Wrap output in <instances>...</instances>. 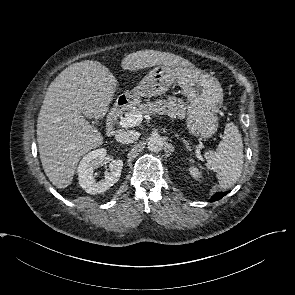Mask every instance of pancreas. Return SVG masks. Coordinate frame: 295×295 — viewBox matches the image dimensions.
Masks as SVG:
<instances>
[{
	"mask_svg": "<svg viewBox=\"0 0 295 295\" xmlns=\"http://www.w3.org/2000/svg\"><path fill=\"white\" fill-rule=\"evenodd\" d=\"M129 113H141L143 116L163 114L181 119L186 115V104L182 100L170 97L167 100L159 99L154 102L139 104L137 108L132 107Z\"/></svg>",
	"mask_w": 295,
	"mask_h": 295,
	"instance_id": "1",
	"label": "pancreas"
}]
</instances>
